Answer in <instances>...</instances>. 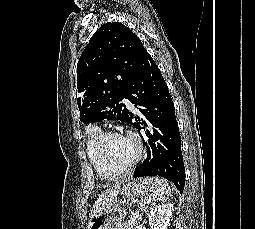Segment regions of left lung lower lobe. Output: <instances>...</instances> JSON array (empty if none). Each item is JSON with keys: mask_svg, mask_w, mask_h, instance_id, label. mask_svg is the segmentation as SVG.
Here are the masks:
<instances>
[{"mask_svg": "<svg viewBox=\"0 0 255 229\" xmlns=\"http://www.w3.org/2000/svg\"><path fill=\"white\" fill-rule=\"evenodd\" d=\"M141 117L128 112L127 123L145 133L148 156L135 169L134 177L161 176L172 181L183 193L185 167L181 151V137L175 117L174 104L161 72L144 50L124 90Z\"/></svg>", "mask_w": 255, "mask_h": 229, "instance_id": "obj_1", "label": "left lung lower lobe"}]
</instances>
